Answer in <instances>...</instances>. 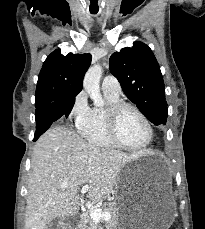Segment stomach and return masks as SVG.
<instances>
[{
  "label": "stomach",
  "instance_id": "stomach-1",
  "mask_svg": "<svg viewBox=\"0 0 205 229\" xmlns=\"http://www.w3.org/2000/svg\"><path fill=\"white\" fill-rule=\"evenodd\" d=\"M149 157V154H145ZM138 159L130 162L118 180V222L116 229H169L175 218V207L140 195L136 188L141 176Z\"/></svg>",
  "mask_w": 205,
  "mask_h": 229
}]
</instances>
